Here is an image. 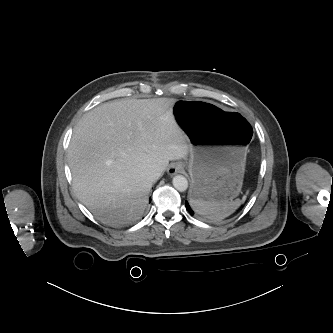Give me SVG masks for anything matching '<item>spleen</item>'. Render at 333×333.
<instances>
[{
	"instance_id": "1",
	"label": "spleen",
	"mask_w": 333,
	"mask_h": 333,
	"mask_svg": "<svg viewBox=\"0 0 333 333\" xmlns=\"http://www.w3.org/2000/svg\"><path fill=\"white\" fill-rule=\"evenodd\" d=\"M244 200L243 198V200L235 199L229 202H216L191 198L190 204L193 210L199 215L218 221L235 212Z\"/></svg>"
}]
</instances>
